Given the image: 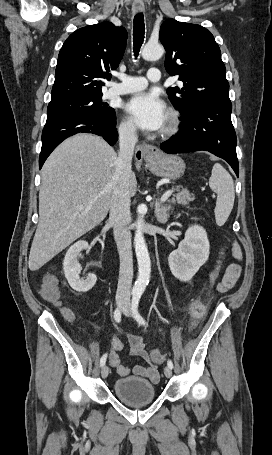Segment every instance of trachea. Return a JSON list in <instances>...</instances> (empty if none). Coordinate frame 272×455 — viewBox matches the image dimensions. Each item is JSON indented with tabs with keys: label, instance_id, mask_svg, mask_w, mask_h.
Returning a JSON list of instances; mask_svg holds the SVG:
<instances>
[{
	"label": "trachea",
	"instance_id": "3493384b",
	"mask_svg": "<svg viewBox=\"0 0 272 455\" xmlns=\"http://www.w3.org/2000/svg\"><path fill=\"white\" fill-rule=\"evenodd\" d=\"M145 35V24L144 16L142 13H138L134 17L133 27V43H134V56L137 57L140 51V47L143 44Z\"/></svg>",
	"mask_w": 272,
	"mask_h": 455
}]
</instances>
